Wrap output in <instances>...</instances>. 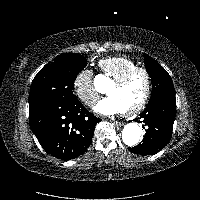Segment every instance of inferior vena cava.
Returning <instances> with one entry per match:
<instances>
[{"label": "inferior vena cava", "mask_w": 200, "mask_h": 200, "mask_svg": "<svg viewBox=\"0 0 200 200\" xmlns=\"http://www.w3.org/2000/svg\"><path fill=\"white\" fill-rule=\"evenodd\" d=\"M95 101H96V100H95V99H93V100H91V101H90V103H91V104H93Z\"/></svg>", "instance_id": "602c4592"}]
</instances>
